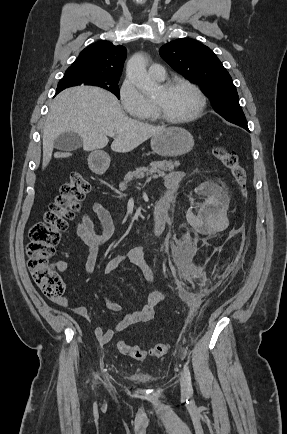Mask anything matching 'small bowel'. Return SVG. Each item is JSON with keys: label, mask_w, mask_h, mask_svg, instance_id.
<instances>
[{"label": "small bowel", "mask_w": 287, "mask_h": 434, "mask_svg": "<svg viewBox=\"0 0 287 434\" xmlns=\"http://www.w3.org/2000/svg\"><path fill=\"white\" fill-rule=\"evenodd\" d=\"M183 177V172L175 171L170 173L166 178L167 192L159 201V203L163 204V219L157 225V231L154 234L157 237L161 236L164 232L174 195ZM157 205L155 206V209L157 208ZM92 215H95L98 218L101 226V233L97 232L92 221ZM75 229L77 235L88 247L85 273L91 274L93 273L96 266L100 245L107 242L114 234L115 226L113 217L109 210H107L101 203L95 202L92 204L90 209L86 211L79 220H77ZM125 261H128L130 264L137 267L142 272L146 280L150 282L155 280L154 272L146 260L143 247H134L127 252L117 254L110 258L104 266V275L112 274L119 267V265ZM54 267L58 272H64L67 268V263L65 261H58L54 264ZM163 299L164 294L160 291H155L148 294L145 298V303L140 310L127 314L114 327L106 329L103 326H97L94 330L97 340L101 344H107L114 338L116 334L124 331L131 325L138 322L150 321L154 316L157 306L162 302ZM104 301L106 307L110 311L117 313L122 310L120 304L112 301L108 297H105ZM55 302L62 307L69 306V299L67 296L57 298L55 299ZM70 311L77 317H85L88 313L87 308L82 305L72 307L70 308Z\"/></svg>", "instance_id": "small-bowel-1"}]
</instances>
